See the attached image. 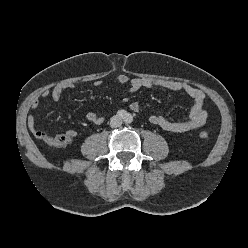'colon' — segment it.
Instances as JSON below:
<instances>
[{"instance_id": "colon-1", "label": "colon", "mask_w": 248, "mask_h": 248, "mask_svg": "<svg viewBox=\"0 0 248 248\" xmlns=\"http://www.w3.org/2000/svg\"><path fill=\"white\" fill-rule=\"evenodd\" d=\"M199 136L201 139H207L208 133L206 131H201L199 133ZM42 140H44L50 146L62 147L69 142V137L64 134H53V135L45 134L43 135Z\"/></svg>"}]
</instances>
